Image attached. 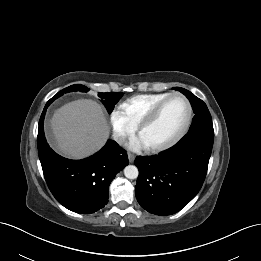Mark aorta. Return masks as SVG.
<instances>
[{
	"mask_svg": "<svg viewBox=\"0 0 261 261\" xmlns=\"http://www.w3.org/2000/svg\"><path fill=\"white\" fill-rule=\"evenodd\" d=\"M138 168L134 165H128L124 168V175L128 179H136L138 177Z\"/></svg>",
	"mask_w": 261,
	"mask_h": 261,
	"instance_id": "aorta-1",
	"label": "aorta"
}]
</instances>
